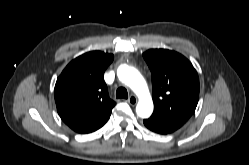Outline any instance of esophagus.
<instances>
[{"label":"esophagus","mask_w":249,"mask_h":165,"mask_svg":"<svg viewBox=\"0 0 249 165\" xmlns=\"http://www.w3.org/2000/svg\"><path fill=\"white\" fill-rule=\"evenodd\" d=\"M127 101L130 105H136L137 97L135 95H130Z\"/></svg>","instance_id":"esophagus-1"}]
</instances>
